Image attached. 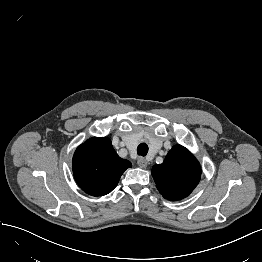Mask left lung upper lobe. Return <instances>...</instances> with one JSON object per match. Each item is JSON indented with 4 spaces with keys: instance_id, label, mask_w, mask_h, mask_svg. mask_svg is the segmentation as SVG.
<instances>
[{
    "instance_id": "left-lung-upper-lobe-1",
    "label": "left lung upper lobe",
    "mask_w": 262,
    "mask_h": 262,
    "mask_svg": "<svg viewBox=\"0 0 262 262\" xmlns=\"http://www.w3.org/2000/svg\"><path fill=\"white\" fill-rule=\"evenodd\" d=\"M152 176L163 197L177 201L187 197L197 186L201 167L188 149L175 145L162 164L152 167Z\"/></svg>"
}]
</instances>
